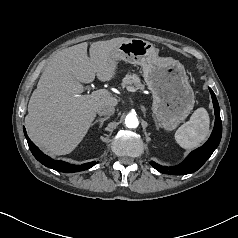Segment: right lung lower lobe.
Here are the masks:
<instances>
[{
    "label": "right lung lower lobe",
    "instance_id": "right-lung-lower-lobe-1",
    "mask_svg": "<svg viewBox=\"0 0 238 238\" xmlns=\"http://www.w3.org/2000/svg\"><path fill=\"white\" fill-rule=\"evenodd\" d=\"M23 129H24V134L27 138V142L32 154L40 163H42L43 165L49 168H52L60 172L70 173V172H78V171L87 170L96 164V162H91V163H86L82 165H72L61 160H54L48 157L47 155H45L41 150H39V148L27 136L25 128Z\"/></svg>",
    "mask_w": 238,
    "mask_h": 238
}]
</instances>
